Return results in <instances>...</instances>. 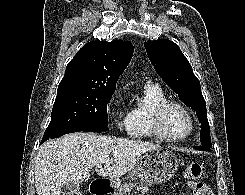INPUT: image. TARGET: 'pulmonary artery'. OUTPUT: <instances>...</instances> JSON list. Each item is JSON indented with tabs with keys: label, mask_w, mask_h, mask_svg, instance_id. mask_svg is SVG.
I'll use <instances>...</instances> for the list:
<instances>
[{
	"label": "pulmonary artery",
	"mask_w": 245,
	"mask_h": 195,
	"mask_svg": "<svg viewBox=\"0 0 245 195\" xmlns=\"http://www.w3.org/2000/svg\"><path fill=\"white\" fill-rule=\"evenodd\" d=\"M151 85V82H146L145 86Z\"/></svg>",
	"instance_id": "e3ab8cb5"
}]
</instances>
